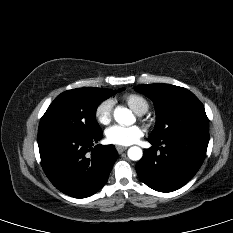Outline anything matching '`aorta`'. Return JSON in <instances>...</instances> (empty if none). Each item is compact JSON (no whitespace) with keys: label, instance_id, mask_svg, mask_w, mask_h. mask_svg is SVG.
<instances>
[{"label":"aorta","instance_id":"aorta-1","mask_svg":"<svg viewBox=\"0 0 233 233\" xmlns=\"http://www.w3.org/2000/svg\"><path fill=\"white\" fill-rule=\"evenodd\" d=\"M114 119L120 125H131L135 122V117L132 114V111L120 106L116 107L114 110ZM127 155L129 159L138 161L142 158L143 152L140 147L133 146L128 149Z\"/></svg>","mask_w":233,"mask_h":233}]
</instances>
